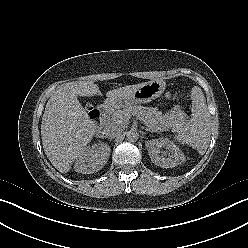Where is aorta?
<instances>
[{
    "mask_svg": "<svg viewBox=\"0 0 248 248\" xmlns=\"http://www.w3.org/2000/svg\"><path fill=\"white\" fill-rule=\"evenodd\" d=\"M126 138L129 142H136L139 138V134L136 130H130L127 132Z\"/></svg>",
    "mask_w": 248,
    "mask_h": 248,
    "instance_id": "obj_1",
    "label": "aorta"
}]
</instances>
